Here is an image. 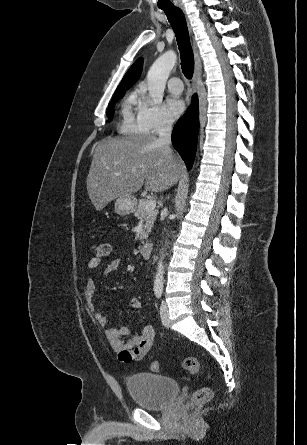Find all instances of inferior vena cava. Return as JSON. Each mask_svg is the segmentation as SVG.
I'll return each mask as SVG.
<instances>
[{
  "instance_id": "inferior-vena-cava-1",
  "label": "inferior vena cava",
  "mask_w": 307,
  "mask_h": 445,
  "mask_svg": "<svg viewBox=\"0 0 307 445\" xmlns=\"http://www.w3.org/2000/svg\"><path fill=\"white\" fill-rule=\"evenodd\" d=\"M172 124L173 120L168 118V116H164L162 124L157 126L156 130L159 132L158 142H161V144H171Z\"/></svg>"
}]
</instances>
